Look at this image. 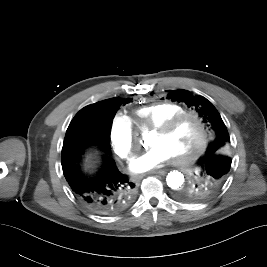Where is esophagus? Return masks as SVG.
<instances>
[{
    "mask_svg": "<svg viewBox=\"0 0 267 267\" xmlns=\"http://www.w3.org/2000/svg\"><path fill=\"white\" fill-rule=\"evenodd\" d=\"M151 173H153V174H160V175H163V174H165V171L164 170H159V171H152Z\"/></svg>",
    "mask_w": 267,
    "mask_h": 267,
    "instance_id": "34e87169",
    "label": "esophagus"
}]
</instances>
